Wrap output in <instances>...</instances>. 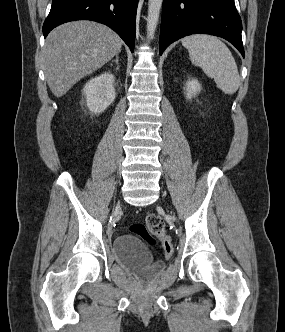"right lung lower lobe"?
Segmentation results:
<instances>
[{
    "label": "right lung lower lobe",
    "instance_id": "right-lung-lower-lobe-1",
    "mask_svg": "<svg viewBox=\"0 0 285 332\" xmlns=\"http://www.w3.org/2000/svg\"><path fill=\"white\" fill-rule=\"evenodd\" d=\"M137 5L138 0H53L43 34L65 22L93 20L113 29L133 52Z\"/></svg>",
    "mask_w": 285,
    "mask_h": 332
}]
</instances>
